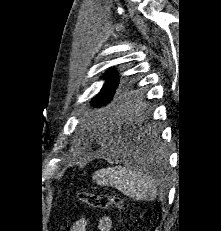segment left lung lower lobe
I'll list each match as a JSON object with an SVG mask.
<instances>
[{
	"label": "left lung lower lobe",
	"mask_w": 221,
	"mask_h": 231,
	"mask_svg": "<svg viewBox=\"0 0 221 231\" xmlns=\"http://www.w3.org/2000/svg\"><path fill=\"white\" fill-rule=\"evenodd\" d=\"M118 121L116 130L124 153L140 155L143 147L152 154H158L157 140L155 135L149 134L147 122L135 121L130 114L121 116Z\"/></svg>",
	"instance_id": "1"
}]
</instances>
